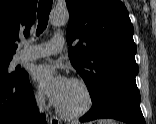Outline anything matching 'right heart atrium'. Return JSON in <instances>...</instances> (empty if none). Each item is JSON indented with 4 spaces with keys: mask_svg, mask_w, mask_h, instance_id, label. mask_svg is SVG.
I'll use <instances>...</instances> for the list:
<instances>
[{
    "mask_svg": "<svg viewBox=\"0 0 156 124\" xmlns=\"http://www.w3.org/2000/svg\"><path fill=\"white\" fill-rule=\"evenodd\" d=\"M35 100L38 105L43 106L45 104V93L41 88H38L35 92Z\"/></svg>",
    "mask_w": 156,
    "mask_h": 124,
    "instance_id": "right-heart-atrium-1",
    "label": "right heart atrium"
}]
</instances>
